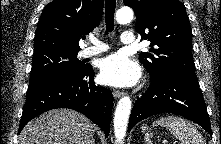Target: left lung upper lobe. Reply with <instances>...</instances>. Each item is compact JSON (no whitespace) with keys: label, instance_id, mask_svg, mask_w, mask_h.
<instances>
[{"label":"left lung upper lobe","instance_id":"left-lung-upper-lobe-1","mask_svg":"<svg viewBox=\"0 0 221 144\" xmlns=\"http://www.w3.org/2000/svg\"><path fill=\"white\" fill-rule=\"evenodd\" d=\"M136 14V30L148 39L150 52L139 60L152 75L178 73L197 78L191 55L192 30L179 0H124ZM155 47V48H153Z\"/></svg>","mask_w":221,"mask_h":144}]
</instances>
